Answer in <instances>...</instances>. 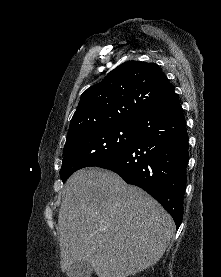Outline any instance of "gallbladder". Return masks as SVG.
I'll return each instance as SVG.
<instances>
[{
  "mask_svg": "<svg viewBox=\"0 0 221 277\" xmlns=\"http://www.w3.org/2000/svg\"><path fill=\"white\" fill-rule=\"evenodd\" d=\"M93 272V267L88 261L79 260L67 271L68 277H90Z\"/></svg>",
  "mask_w": 221,
  "mask_h": 277,
  "instance_id": "obj_1",
  "label": "gallbladder"
}]
</instances>
